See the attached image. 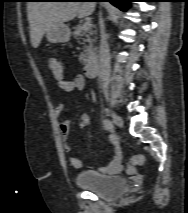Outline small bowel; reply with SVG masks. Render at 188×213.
I'll return each instance as SVG.
<instances>
[{
  "instance_id": "small-bowel-1",
  "label": "small bowel",
  "mask_w": 188,
  "mask_h": 213,
  "mask_svg": "<svg viewBox=\"0 0 188 213\" xmlns=\"http://www.w3.org/2000/svg\"><path fill=\"white\" fill-rule=\"evenodd\" d=\"M59 87L65 94H70L73 91L76 90H82L85 86L86 80L83 76L78 75L73 77L72 79H65L64 76L61 79H58ZM65 111V106L63 103H59L56 106L55 113L57 116L61 117ZM89 125V116L84 114L81 117V126L87 127ZM59 129L62 137L67 140L70 133V120L67 118H61ZM109 142L114 146L115 148V154L111 160V162L100 168V171L102 173H116L121 169V163H122V153L119 146V141L116 136H110ZM65 150L66 152L72 151V146L68 143L65 144ZM69 162L71 166L74 168H82L84 166V163L81 159L77 157H70Z\"/></svg>"
}]
</instances>
